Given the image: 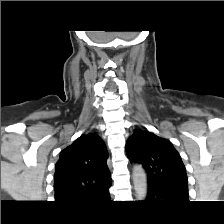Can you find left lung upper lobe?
Returning a JSON list of instances; mask_svg holds the SVG:
<instances>
[{
  "label": "left lung upper lobe",
  "mask_w": 224,
  "mask_h": 224,
  "mask_svg": "<svg viewBox=\"0 0 224 224\" xmlns=\"http://www.w3.org/2000/svg\"><path fill=\"white\" fill-rule=\"evenodd\" d=\"M126 152L130 160L142 164L149 185L188 190L185 166L170 141L137 131L127 140Z\"/></svg>",
  "instance_id": "5c2ea615"
}]
</instances>
